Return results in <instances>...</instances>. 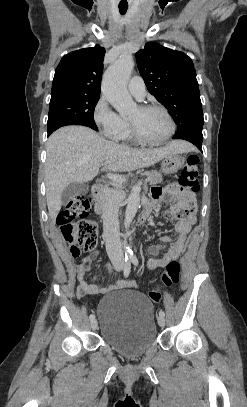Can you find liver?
Returning <instances> with one entry per match:
<instances>
[{"instance_id": "1", "label": "liver", "mask_w": 247, "mask_h": 407, "mask_svg": "<svg viewBox=\"0 0 247 407\" xmlns=\"http://www.w3.org/2000/svg\"><path fill=\"white\" fill-rule=\"evenodd\" d=\"M191 149L185 141H171L155 149H135L107 141L88 127H62L47 141L45 184L50 219L54 222L61 209L64 189L71 183L91 181L105 161H111L106 169L126 172L152 166L168 155Z\"/></svg>"}]
</instances>
